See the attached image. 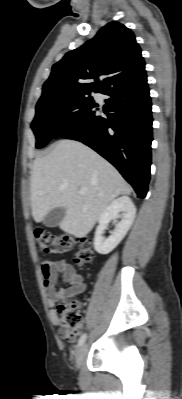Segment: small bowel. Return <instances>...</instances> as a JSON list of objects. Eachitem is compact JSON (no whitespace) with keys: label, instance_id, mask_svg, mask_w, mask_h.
Returning a JSON list of instances; mask_svg holds the SVG:
<instances>
[{"label":"small bowel","instance_id":"small-bowel-1","mask_svg":"<svg viewBox=\"0 0 182 399\" xmlns=\"http://www.w3.org/2000/svg\"><path fill=\"white\" fill-rule=\"evenodd\" d=\"M41 274L44 281L45 293L48 306L51 308V319L55 325L59 324V318L56 311L57 303L81 294L86 289L83 277L76 271L74 266L67 260H45L41 266ZM62 277L66 286L56 287L59 277ZM80 333V328L76 330L75 338L69 339L59 329V335L69 341L74 342Z\"/></svg>","mask_w":182,"mask_h":399}]
</instances>
